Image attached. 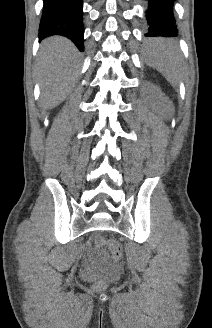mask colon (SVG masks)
<instances>
[{
  "label": "colon",
  "instance_id": "colon-1",
  "mask_svg": "<svg viewBox=\"0 0 212 328\" xmlns=\"http://www.w3.org/2000/svg\"><path fill=\"white\" fill-rule=\"evenodd\" d=\"M96 244L100 248L107 247L111 253L113 260L119 261L122 258V248L116 239L105 240L102 237H97Z\"/></svg>",
  "mask_w": 212,
  "mask_h": 328
}]
</instances>
